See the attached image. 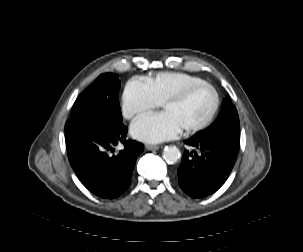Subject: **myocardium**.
<instances>
[{
	"label": "myocardium",
	"instance_id": "obj_1",
	"mask_svg": "<svg viewBox=\"0 0 303 252\" xmlns=\"http://www.w3.org/2000/svg\"><path fill=\"white\" fill-rule=\"evenodd\" d=\"M209 90L212 94V99H213V107H212V111H211L210 115L203 123H201L193 128H188V129L182 128L181 130L184 135H186V136L194 135V134L208 128L212 124L214 118L216 117V114L218 112L219 105H220V97H219L218 92L213 87H209ZM193 92L194 91H192V90L186 91L177 97H173V98L167 100L162 105V107H169L171 105L182 104L190 95L193 94Z\"/></svg>",
	"mask_w": 303,
	"mask_h": 252
}]
</instances>
